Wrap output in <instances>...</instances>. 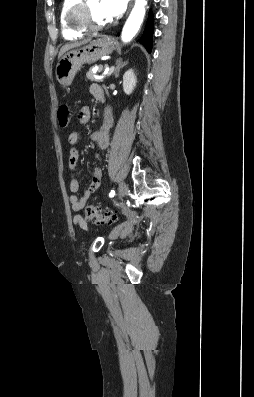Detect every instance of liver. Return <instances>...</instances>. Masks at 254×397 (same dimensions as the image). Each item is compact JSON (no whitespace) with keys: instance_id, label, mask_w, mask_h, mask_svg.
Wrapping results in <instances>:
<instances>
[{"instance_id":"liver-1","label":"liver","mask_w":254,"mask_h":397,"mask_svg":"<svg viewBox=\"0 0 254 397\" xmlns=\"http://www.w3.org/2000/svg\"><path fill=\"white\" fill-rule=\"evenodd\" d=\"M90 41H91V39L87 38V39H83V40H81V41H76V42H74V43L65 44V45L60 49V52H59V55H58L59 59H60V58L64 55V53H66L68 50H70V49H72V48H75V47H79V46H81V45H84V44H86V43H88V42H90Z\"/></svg>"}]
</instances>
